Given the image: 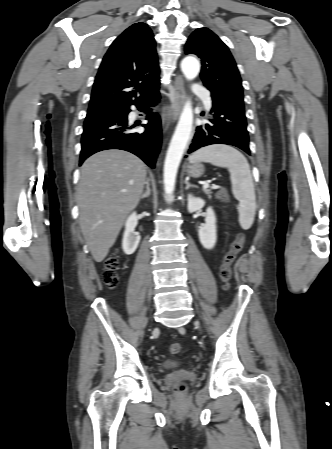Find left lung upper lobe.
<instances>
[{"instance_id": "1", "label": "left lung upper lobe", "mask_w": 332, "mask_h": 449, "mask_svg": "<svg viewBox=\"0 0 332 449\" xmlns=\"http://www.w3.org/2000/svg\"><path fill=\"white\" fill-rule=\"evenodd\" d=\"M186 54L201 58L200 77L212 100L244 109L241 78L236 63L221 39L208 28H199L185 45Z\"/></svg>"}]
</instances>
